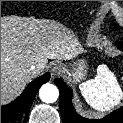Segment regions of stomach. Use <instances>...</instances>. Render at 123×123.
I'll use <instances>...</instances> for the list:
<instances>
[{
	"instance_id": "0dacf381",
	"label": "stomach",
	"mask_w": 123,
	"mask_h": 123,
	"mask_svg": "<svg viewBox=\"0 0 123 123\" xmlns=\"http://www.w3.org/2000/svg\"><path fill=\"white\" fill-rule=\"evenodd\" d=\"M87 72L86 63L84 60H78L74 67L73 72L71 74L73 82L77 83L80 80L84 79Z\"/></svg>"
}]
</instances>
